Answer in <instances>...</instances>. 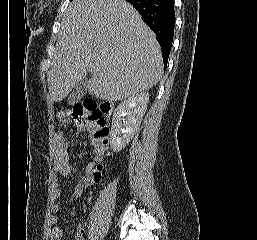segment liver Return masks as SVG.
<instances>
[{
  "instance_id": "1",
  "label": "liver",
  "mask_w": 257,
  "mask_h": 240,
  "mask_svg": "<svg viewBox=\"0 0 257 240\" xmlns=\"http://www.w3.org/2000/svg\"><path fill=\"white\" fill-rule=\"evenodd\" d=\"M88 72V92L108 101L134 96L161 79L155 34L125 0H73L64 12L48 73L52 100H63Z\"/></svg>"
}]
</instances>
